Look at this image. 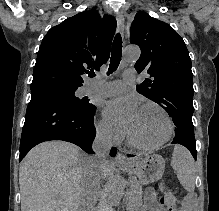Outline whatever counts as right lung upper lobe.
Masks as SVG:
<instances>
[{
  "label": "right lung upper lobe",
  "mask_w": 219,
  "mask_h": 211,
  "mask_svg": "<svg viewBox=\"0 0 219 211\" xmlns=\"http://www.w3.org/2000/svg\"><path fill=\"white\" fill-rule=\"evenodd\" d=\"M116 25L113 16L101 18L92 9L51 28L38 51L31 90L83 86L88 69H99L108 60Z\"/></svg>",
  "instance_id": "cb5924a9"
}]
</instances>
